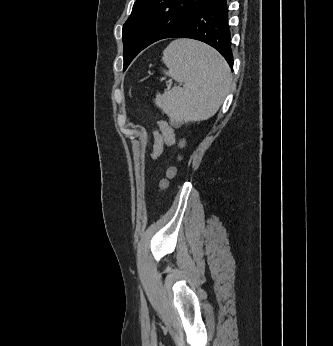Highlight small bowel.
<instances>
[{
  "mask_svg": "<svg viewBox=\"0 0 333 346\" xmlns=\"http://www.w3.org/2000/svg\"><path fill=\"white\" fill-rule=\"evenodd\" d=\"M158 130L154 132V144L151 156L157 158L163 151L165 146L174 143V133L168 122L157 120Z\"/></svg>",
  "mask_w": 333,
  "mask_h": 346,
  "instance_id": "small-bowel-1",
  "label": "small bowel"
}]
</instances>
